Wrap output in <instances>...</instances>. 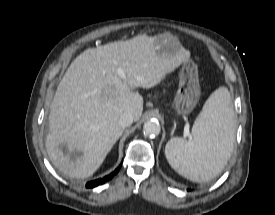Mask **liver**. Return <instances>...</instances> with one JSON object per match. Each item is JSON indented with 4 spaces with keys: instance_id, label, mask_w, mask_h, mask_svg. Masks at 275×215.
<instances>
[{
    "instance_id": "obj_1",
    "label": "liver",
    "mask_w": 275,
    "mask_h": 215,
    "mask_svg": "<svg viewBox=\"0 0 275 215\" xmlns=\"http://www.w3.org/2000/svg\"><path fill=\"white\" fill-rule=\"evenodd\" d=\"M156 37L138 35L89 48L71 63L50 107L45 144L61 172L75 178L93 175L123 134L120 116L131 112L138 121L142 115L143 98L134 89L156 86L189 61L190 52L183 47L174 56L158 55Z\"/></svg>"
}]
</instances>
